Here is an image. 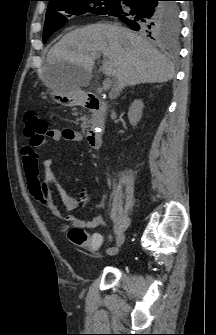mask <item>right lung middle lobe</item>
<instances>
[{"mask_svg":"<svg viewBox=\"0 0 216 335\" xmlns=\"http://www.w3.org/2000/svg\"><path fill=\"white\" fill-rule=\"evenodd\" d=\"M119 2L120 0H57L51 2L48 5L46 13L43 35L44 43L53 32L60 29L67 22L68 17L89 12L96 15L109 14ZM173 3L174 4L171 3L170 5L177 6L175 2ZM178 33L179 25H176L174 29L166 30L160 35L176 36Z\"/></svg>","mask_w":216,"mask_h":335,"instance_id":"dd1d6c3e","label":"right lung middle lobe"}]
</instances>
